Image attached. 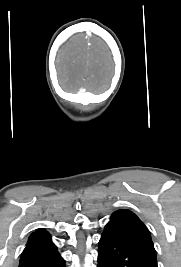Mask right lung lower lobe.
<instances>
[{
    "instance_id": "obj_1",
    "label": "right lung lower lobe",
    "mask_w": 181,
    "mask_h": 267,
    "mask_svg": "<svg viewBox=\"0 0 181 267\" xmlns=\"http://www.w3.org/2000/svg\"><path fill=\"white\" fill-rule=\"evenodd\" d=\"M19 267H65L56 248H25Z\"/></svg>"
}]
</instances>
